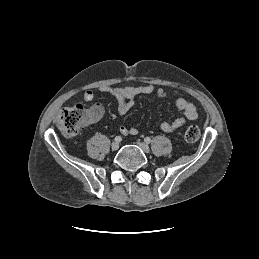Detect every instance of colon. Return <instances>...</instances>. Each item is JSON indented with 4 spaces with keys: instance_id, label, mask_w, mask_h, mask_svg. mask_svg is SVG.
Masks as SVG:
<instances>
[{
    "instance_id": "colon-1",
    "label": "colon",
    "mask_w": 259,
    "mask_h": 259,
    "mask_svg": "<svg viewBox=\"0 0 259 259\" xmlns=\"http://www.w3.org/2000/svg\"><path fill=\"white\" fill-rule=\"evenodd\" d=\"M94 115L93 109H88L81 104L64 108L56 117V124L65 137L75 136ZM184 138L188 142H196L200 138V131L196 126H189L184 132Z\"/></svg>"
}]
</instances>
